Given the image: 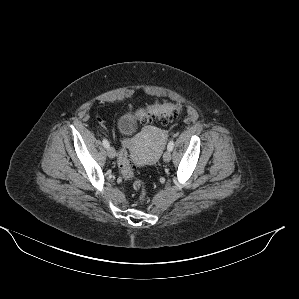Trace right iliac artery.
<instances>
[{
  "label": "right iliac artery",
  "mask_w": 299,
  "mask_h": 299,
  "mask_svg": "<svg viewBox=\"0 0 299 299\" xmlns=\"http://www.w3.org/2000/svg\"><path fill=\"white\" fill-rule=\"evenodd\" d=\"M103 145L105 148L109 147V142L106 139H103Z\"/></svg>",
  "instance_id": "obj_1"
}]
</instances>
